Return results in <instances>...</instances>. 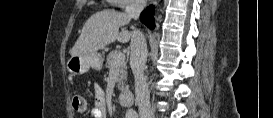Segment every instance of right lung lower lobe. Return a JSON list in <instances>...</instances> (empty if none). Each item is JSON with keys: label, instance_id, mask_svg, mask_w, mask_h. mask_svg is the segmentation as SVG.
I'll use <instances>...</instances> for the list:
<instances>
[{"label": "right lung lower lobe", "instance_id": "obj_1", "mask_svg": "<svg viewBox=\"0 0 273 118\" xmlns=\"http://www.w3.org/2000/svg\"><path fill=\"white\" fill-rule=\"evenodd\" d=\"M154 12V7L153 6H149L146 9V12H142L140 15V20L142 23H144L147 27H149L150 29L154 28V18L152 16Z\"/></svg>", "mask_w": 273, "mask_h": 118}]
</instances>
